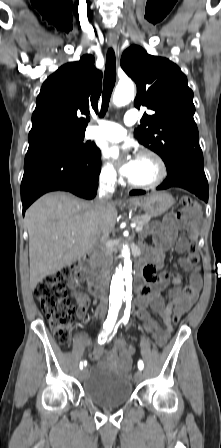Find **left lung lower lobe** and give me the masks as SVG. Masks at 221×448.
Instances as JSON below:
<instances>
[{"label":"left lung lower lobe","mask_w":221,"mask_h":448,"mask_svg":"<svg viewBox=\"0 0 221 448\" xmlns=\"http://www.w3.org/2000/svg\"><path fill=\"white\" fill-rule=\"evenodd\" d=\"M167 167L166 180L157 187L163 190L170 187L184 188L205 202L208 201V182L203 168V155L201 150L182 152L165 162ZM144 190H133L130 195H142Z\"/></svg>","instance_id":"0a47b994"}]
</instances>
